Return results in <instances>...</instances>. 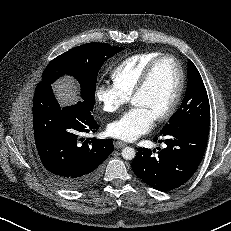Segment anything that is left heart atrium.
Wrapping results in <instances>:
<instances>
[{
    "instance_id": "left-heart-atrium-1",
    "label": "left heart atrium",
    "mask_w": 231,
    "mask_h": 231,
    "mask_svg": "<svg viewBox=\"0 0 231 231\" xmlns=\"http://www.w3.org/2000/svg\"><path fill=\"white\" fill-rule=\"evenodd\" d=\"M155 117L144 107L134 106L119 119L107 126L108 134L122 141H134L147 133L154 124Z\"/></svg>"
}]
</instances>
